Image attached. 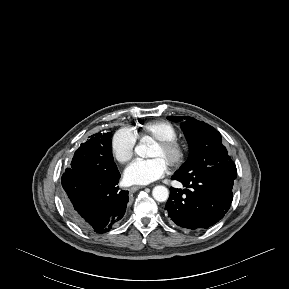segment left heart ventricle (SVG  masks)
Masks as SVG:
<instances>
[{"instance_id": "b2bd125f", "label": "left heart ventricle", "mask_w": 289, "mask_h": 289, "mask_svg": "<svg viewBox=\"0 0 289 289\" xmlns=\"http://www.w3.org/2000/svg\"><path fill=\"white\" fill-rule=\"evenodd\" d=\"M148 158H157L161 160L166 166L172 161L173 155L170 152H164L158 149L156 146H152L148 153Z\"/></svg>"}]
</instances>
